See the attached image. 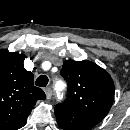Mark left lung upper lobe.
I'll list each match as a JSON object with an SVG mask.
<instances>
[{
    "label": "left lung upper lobe",
    "mask_w": 130,
    "mask_h": 130,
    "mask_svg": "<svg viewBox=\"0 0 130 130\" xmlns=\"http://www.w3.org/2000/svg\"><path fill=\"white\" fill-rule=\"evenodd\" d=\"M61 75L67 81L68 94L58 105L101 121L114 100L115 87L111 76L88 60L65 61Z\"/></svg>",
    "instance_id": "1"
}]
</instances>
